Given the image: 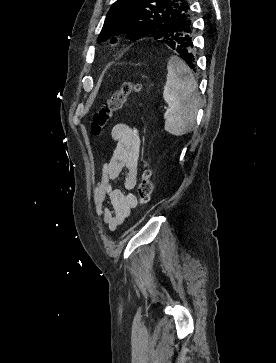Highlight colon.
<instances>
[{"instance_id":"colon-1","label":"colon","mask_w":276,"mask_h":363,"mask_svg":"<svg viewBox=\"0 0 276 363\" xmlns=\"http://www.w3.org/2000/svg\"><path fill=\"white\" fill-rule=\"evenodd\" d=\"M139 85L126 82L116 89L106 104L94 114L92 121V131L99 134L104 125L111 119L114 112L123 109L127 104L128 96L133 91H138ZM138 199L142 205L150 202L153 193V182L151 172L149 169L144 168L141 174L140 182L138 185Z\"/></svg>"}]
</instances>
